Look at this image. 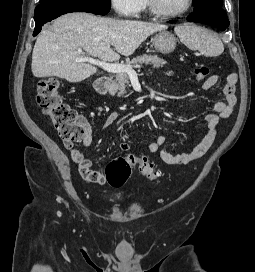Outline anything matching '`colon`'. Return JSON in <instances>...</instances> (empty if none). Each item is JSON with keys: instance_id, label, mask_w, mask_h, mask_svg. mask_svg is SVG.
<instances>
[{"instance_id": "obj_1", "label": "colon", "mask_w": 255, "mask_h": 272, "mask_svg": "<svg viewBox=\"0 0 255 272\" xmlns=\"http://www.w3.org/2000/svg\"><path fill=\"white\" fill-rule=\"evenodd\" d=\"M194 73L196 79L202 81L209 75V68L201 66L196 68ZM61 87L62 83L58 78L42 79L37 86L36 101L61 139L72 144L84 135L85 127L77 113L63 101ZM133 167H137L149 180H155L158 176L146 157L130 155L117 157L107 165L108 183L113 187L123 186L130 177Z\"/></svg>"}]
</instances>
